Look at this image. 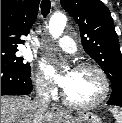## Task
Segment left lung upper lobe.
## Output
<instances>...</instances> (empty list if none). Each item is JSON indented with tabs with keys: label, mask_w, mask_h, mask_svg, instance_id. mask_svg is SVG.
<instances>
[{
	"label": "left lung upper lobe",
	"mask_w": 122,
	"mask_h": 123,
	"mask_svg": "<svg viewBox=\"0 0 122 123\" xmlns=\"http://www.w3.org/2000/svg\"><path fill=\"white\" fill-rule=\"evenodd\" d=\"M80 28L84 50L104 70L112 92L122 89V54L109 9L100 0H60Z\"/></svg>",
	"instance_id": "obj_1"
}]
</instances>
